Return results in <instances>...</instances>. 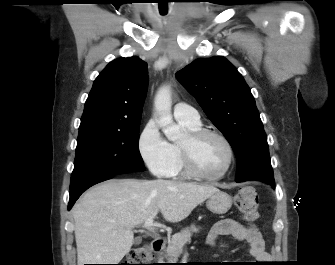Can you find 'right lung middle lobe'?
Segmentation results:
<instances>
[{
	"label": "right lung middle lobe",
	"mask_w": 335,
	"mask_h": 265,
	"mask_svg": "<svg viewBox=\"0 0 335 265\" xmlns=\"http://www.w3.org/2000/svg\"><path fill=\"white\" fill-rule=\"evenodd\" d=\"M140 121L119 129L79 132L70 188L101 174L144 171L139 152Z\"/></svg>",
	"instance_id": "dd1d6c3e"
}]
</instances>
